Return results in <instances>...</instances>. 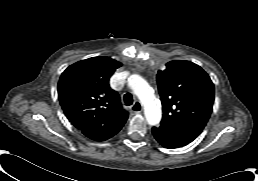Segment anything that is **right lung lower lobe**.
<instances>
[{
    "mask_svg": "<svg viewBox=\"0 0 258 181\" xmlns=\"http://www.w3.org/2000/svg\"><path fill=\"white\" fill-rule=\"evenodd\" d=\"M123 125L124 123H116L113 125L95 129L84 135L96 141H104L118 133Z\"/></svg>",
    "mask_w": 258,
    "mask_h": 181,
    "instance_id": "right-lung-lower-lobe-1",
    "label": "right lung lower lobe"
}]
</instances>
